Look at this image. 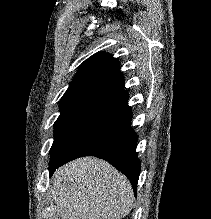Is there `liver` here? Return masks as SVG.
Instances as JSON below:
<instances>
[{
    "label": "liver",
    "instance_id": "obj_1",
    "mask_svg": "<svg viewBox=\"0 0 211 219\" xmlns=\"http://www.w3.org/2000/svg\"><path fill=\"white\" fill-rule=\"evenodd\" d=\"M52 198L61 219H121L133 206L128 179L108 162L83 157L58 168Z\"/></svg>",
    "mask_w": 211,
    "mask_h": 219
}]
</instances>
